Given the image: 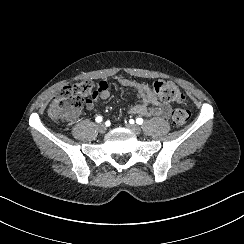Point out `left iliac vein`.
<instances>
[{
  "label": "left iliac vein",
  "instance_id": "1",
  "mask_svg": "<svg viewBox=\"0 0 244 244\" xmlns=\"http://www.w3.org/2000/svg\"><path fill=\"white\" fill-rule=\"evenodd\" d=\"M127 127L135 134H139L141 132L140 126L136 124H127Z\"/></svg>",
  "mask_w": 244,
  "mask_h": 244
}]
</instances>
